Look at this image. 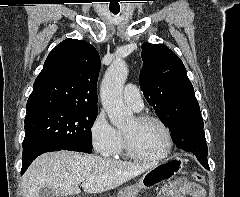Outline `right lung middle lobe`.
Listing matches in <instances>:
<instances>
[{
	"label": "right lung middle lobe",
	"instance_id": "obj_1",
	"mask_svg": "<svg viewBox=\"0 0 240 197\" xmlns=\"http://www.w3.org/2000/svg\"><path fill=\"white\" fill-rule=\"evenodd\" d=\"M98 109L48 107L25 116L23 158L30 152L56 146L62 150L92 152L91 127Z\"/></svg>",
	"mask_w": 240,
	"mask_h": 197
}]
</instances>
